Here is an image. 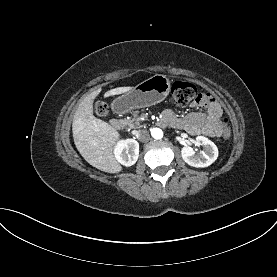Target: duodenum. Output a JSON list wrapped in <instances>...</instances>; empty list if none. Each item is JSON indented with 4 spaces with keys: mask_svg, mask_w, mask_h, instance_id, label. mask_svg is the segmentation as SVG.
Here are the masks:
<instances>
[{
    "mask_svg": "<svg viewBox=\"0 0 277 277\" xmlns=\"http://www.w3.org/2000/svg\"><path fill=\"white\" fill-rule=\"evenodd\" d=\"M117 112H122L121 108H117ZM124 125V122L120 119H112L110 121V126L114 129H121Z\"/></svg>",
    "mask_w": 277,
    "mask_h": 277,
    "instance_id": "duodenum-1",
    "label": "duodenum"
}]
</instances>
